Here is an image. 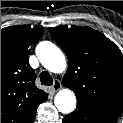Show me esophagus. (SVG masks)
<instances>
[{"label":"esophagus","instance_id":"esophagus-1","mask_svg":"<svg viewBox=\"0 0 123 123\" xmlns=\"http://www.w3.org/2000/svg\"><path fill=\"white\" fill-rule=\"evenodd\" d=\"M61 87H62L61 82L58 79H55L51 89L53 92H57L58 90L61 89Z\"/></svg>","mask_w":123,"mask_h":123}]
</instances>
